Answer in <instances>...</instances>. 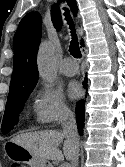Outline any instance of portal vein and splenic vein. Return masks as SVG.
Returning <instances> with one entry per match:
<instances>
[{
  "mask_svg": "<svg viewBox=\"0 0 125 167\" xmlns=\"http://www.w3.org/2000/svg\"><path fill=\"white\" fill-rule=\"evenodd\" d=\"M60 167H69V164L68 163H63V164H61Z\"/></svg>",
  "mask_w": 125,
  "mask_h": 167,
  "instance_id": "obj_1",
  "label": "portal vein and splenic vein"
}]
</instances>
